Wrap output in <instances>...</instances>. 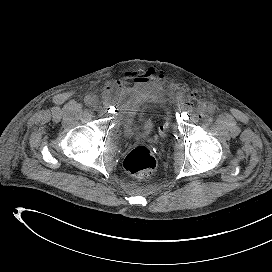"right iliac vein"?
<instances>
[{"instance_id": "obj_1", "label": "right iliac vein", "mask_w": 272, "mask_h": 272, "mask_svg": "<svg viewBox=\"0 0 272 272\" xmlns=\"http://www.w3.org/2000/svg\"><path fill=\"white\" fill-rule=\"evenodd\" d=\"M98 104H99V101L97 100V98H95V97L91 98V105H92L94 108H97V107H98Z\"/></svg>"}]
</instances>
